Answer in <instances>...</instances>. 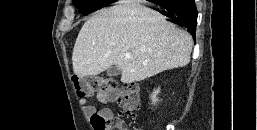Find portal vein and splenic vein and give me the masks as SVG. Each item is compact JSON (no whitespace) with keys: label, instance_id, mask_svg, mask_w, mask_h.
<instances>
[{"label":"portal vein and splenic vein","instance_id":"1","mask_svg":"<svg viewBox=\"0 0 257 130\" xmlns=\"http://www.w3.org/2000/svg\"><path fill=\"white\" fill-rule=\"evenodd\" d=\"M125 57L126 58H131V54H129V53L125 54Z\"/></svg>","mask_w":257,"mask_h":130}]
</instances>
